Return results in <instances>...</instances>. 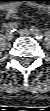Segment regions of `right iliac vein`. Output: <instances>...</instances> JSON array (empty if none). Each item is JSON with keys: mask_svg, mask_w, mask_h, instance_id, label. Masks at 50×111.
Returning a JSON list of instances; mask_svg holds the SVG:
<instances>
[{"mask_svg": "<svg viewBox=\"0 0 50 111\" xmlns=\"http://www.w3.org/2000/svg\"><path fill=\"white\" fill-rule=\"evenodd\" d=\"M12 38H13V34L10 33V32L7 33L6 36H5V39H6L7 41H10Z\"/></svg>", "mask_w": 50, "mask_h": 111, "instance_id": "obj_1", "label": "right iliac vein"}]
</instances>
